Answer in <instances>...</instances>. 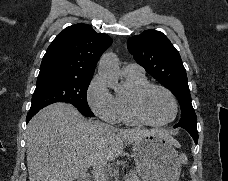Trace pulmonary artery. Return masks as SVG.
Here are the masks:
<instances>
[{"instance_id": "pulmonary-artery-1", "label": "pulmonary artery", "mask_w": 228, "mask_h": 181, "mask_svg": "<svg viewBox=\"0 0 228 181\" xmlns=\"http://www.w3.org/2000/svg\"><path fill=\"white\" fill-rule=\"evenodd\" d=\"M125 70H128V75H142V70H140V65H125Z\"/></svg>"}]
</instances>
